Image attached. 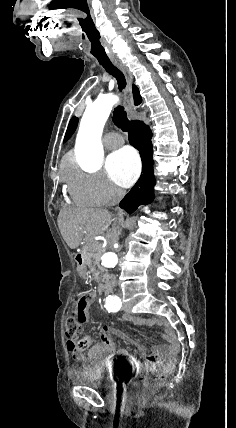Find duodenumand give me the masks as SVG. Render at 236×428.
Segmentation results:
<instances>
[{"mask_svg": "<svg viewBox=\"0 0 236 428\" xmlns=\"http://www.w3.org/2000/svg\"><path fill=\"white\" fill-rule=\"evenodd\" d=\"M75 263L77 266V269L79 272H83L84 271V259H83V255L78 252L75 255ZM115 285H116V279L114 275H107L102 287V293L106 298H108L109 296H112L114 293V289H115Z\"/></svg>", "mask_w": 236, "mask_h": 428, "instance_id": "duodenum-1", "label": "duodenum"}]
</instances>
